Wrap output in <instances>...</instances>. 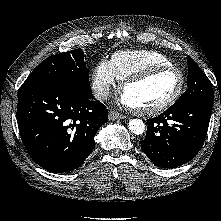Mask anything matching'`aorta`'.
I'll list each match as a JSON object with an SVG mask.
<instances>
[{
    "mask_svg": "<svg viewBox=\"0 0 221 221\" xmlns=\"http://www.w3.org/2000/svg\"><path fill=\"white\" fill-rule=\"evenodd\" d=\"M128 127L129 130L136 135H141L145 131V124L141 119L130 120Z\"/></svg>",
    "mask_w": 221,
    "mask_h": 221,
    "instance_id": "obj_1",
    "label": "aorta"
}]
</instances>
